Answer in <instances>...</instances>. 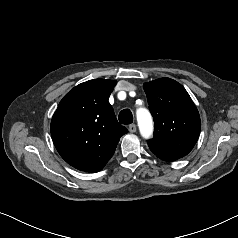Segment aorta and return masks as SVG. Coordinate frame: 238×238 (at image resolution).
I'll return each mask as SVG.
<instances>
[{
    "mask_svg": "<svg viewBox=\"0 0 238 238\" xmlns=\"http://www.w3.org/2000/svg\"><path fill=\"white\" fill-rule=\"evenodd\" d=\"M136 116L142 137L150 138L153 134V121L149 111L145 108H140L137 110Z\"/></svg>",
    "mask_w": 238,
    "mask_h": 238,
    "instance_id": "1",
    "label": "aorta"
}]
</instances>
